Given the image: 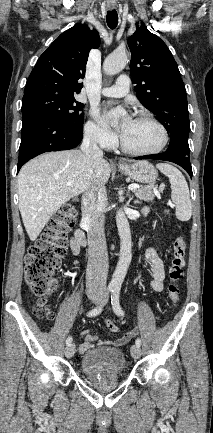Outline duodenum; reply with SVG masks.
<instances>
[{"instance_id": "410a0bca", "label": "duodenum", "mask_w": 213, "mask_h": 433, "mask_svg": "<svg viewBox=\"0 0 213 433\" xmlns=\"http://www.w3.org/2000/svg\"><path fill=\"white\" fill-rule=\"evenodd\" d=\"M74 239L80 246H84L86 244L85 233L81 228H77L74 233Z\"/></svg>"}]
</instances>
